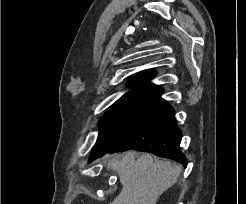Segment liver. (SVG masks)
<instances>
[{
    "instance_id": "liver-1",
    "label": "liver",
    "mask_w": 246,
    "mask_h": 204,
    "mask_svg": "<svg viewBox=\"0 0 246 204\" xmlns=\"http://www.w3.org/2000/svg\"><path fill=\"white\" fill-rule=\"evenodd\" d=\"M107 166L117 172L122 185L120 194L110 204H156L182 171L181 166L168 160H154L148 153L136 158L133 151L121 159L112 157Z\"/></svg>"
}]
</instances>
